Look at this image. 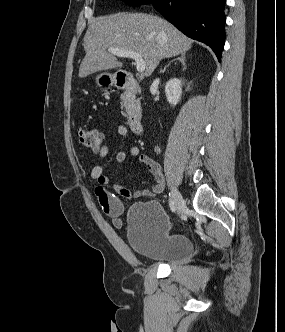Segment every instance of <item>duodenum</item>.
Here are the masks:
<instances>
[{"label":"duodenum","mask_w":285,"mask_h":332,"mask_svg":"<svg viewBox=\"0 0 285 332\" xmlns=\"http://www.w3.org/2000/svg\"><path fill=\"white\" fill-rule=\"evenodd\" d=\"M117 85L123 89L128 97L134 96L138 91V83L134 76L129 72H122L118 74ZM128 124L130 129L136 134H142L144 131L141 116L137 113L130 114L128 117Z\"/></svg>","instance_id":"410a0bca"}]
</instances>
